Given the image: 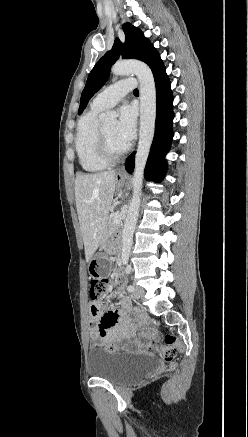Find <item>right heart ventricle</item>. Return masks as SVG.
I'll use <instances>...</instances> for the list:
<instances>
[{"instance_id":"e07e8e85","label":"right heart ventricle","mask_w":248,"mask_h":437,"mask_svg":"<svg viewBox=\"0 0 248 437\" xmlns=\"http://www.w3.org/2000/svg\"><path fill=\"white\" fill-rule=\"evenodd\" d=\"M102 109L91 106L78 121L75 148L81 168L89 173L104 170L108 163L98 152L99 113Z\"/></svg>"}]
</instances>
